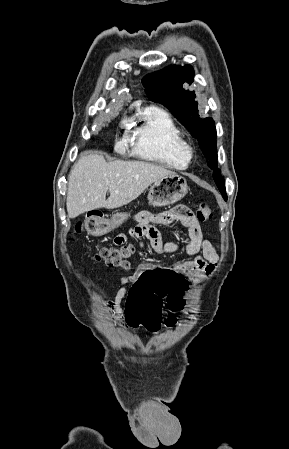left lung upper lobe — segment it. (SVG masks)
Segmentation results:
<instances>
[{
	"mask_svg": "<svg viewBox=\"0 0 289 449\" xmlns=\"http://www.w3.org/2000/svg\"><path fill=\"white\" fill-rule=\"evenodd\" d=\"M194 71L190 65L168 66L142 79L145 92L153 102L161 103L198 139L202 151L213 169V178L227 198L225 180L218 169L216 150V128L211 117L200 118L194 92L184 91L183 84L193 82Z\"/></svg>",
	"mask_w": 289,
	"mask_h": 449,
	"instance_id": "obj_1",
	"label": "left lung upper lobe"
}]
</instances>
